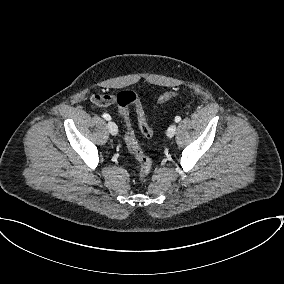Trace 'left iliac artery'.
I'll return each mask as SVG.
<instances>
[{
    "label": "left iliac artery",
    "instance_id": "44dca946",
    "mask_svg": "<svg viewBox=\"0 0 284 284\" xmlns=\"http://www.w3.org/2000/svg\"><path fill=\"white\" fill-rule=\"evenodd\" d=\"M180 121H181V117H180V116H176V117H175V122L178 123V122H180Z\"/></svg>",
    "mask_w": 284,
    "mask_h": 284
}]
</instances>
